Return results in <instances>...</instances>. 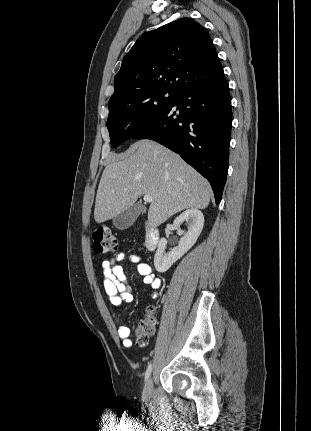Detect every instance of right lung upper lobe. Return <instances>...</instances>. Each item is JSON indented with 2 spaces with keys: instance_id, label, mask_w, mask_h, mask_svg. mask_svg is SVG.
<instances>
[{
  "instance_id": "cb5924a9",
  "label": "right lung upper lobe",
  "mask_w": 311,
  "mask_h": 431,
  "mask_svg": "<svg viewBox=\"0 0 311 431\" xmlns=\"http://www.w3.org/2000/svg\"><path fill=\"white\" fill-rule=\"evenodd\" d=\"M223 71L207 30L182 18L143 34L124 57L110 99L161 90L179 93Z\"/></svg>"
}]
</instances>
